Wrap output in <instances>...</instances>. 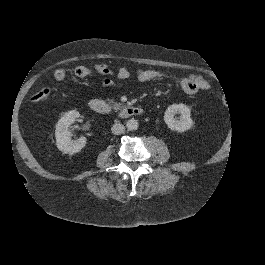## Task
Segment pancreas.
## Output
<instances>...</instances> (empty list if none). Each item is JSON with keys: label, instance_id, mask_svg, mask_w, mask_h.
<instances>
[{"label": "pancreas", "instance_id": "obj_1", "mask_svg": "<svg viewBox=\"0 0 265 265\" xmlns=\"http://www.w3.org/2000/svg\"><path fill=\"white\" fill-rule=\"evenodd\" d=\"M108 102L112 106V108L116 110L124 107V104L115 102L113 99H108Z\"/></svg>", "mask_w": 265, "mask_h": 265}]
</instances>
